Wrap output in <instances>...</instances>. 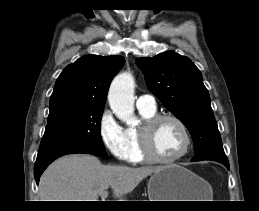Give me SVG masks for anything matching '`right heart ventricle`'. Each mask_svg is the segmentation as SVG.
<instances>
[{"label":"right heart ventricle","instance_id":"e07e8e85","mask_svg":"<svg viewBox=\"0 0 259 211\" xmlns=\"http://www.w3.org/2000/svg\"><path fill=\"white\" fill-rule=\"evenodd\" d=\"M143 119L149 118L156 114V110L139 109ZM126 136V157L125 159L133 164L146 163L142 155L139 143L138 128L128 127L125 129Z\"/></svg>","mask_w":259,"mask_h":211}]
</instances>
